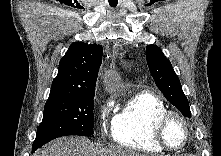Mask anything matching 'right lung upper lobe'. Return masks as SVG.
Here are the masks:
<instances>
[{"label": "right lung upper lobe", "mask_w": 221, "mask_h": 156, "mask_svg": "<svg viewBox=\"0 0 221 156\" xmlns=\"http://www.w3.org/2000/svg\"><path fill=\"white\" fill-rule=\"evenodd\" d=\"M102 55L101 45L72 43L60 60L48 100L73 98L95 92Z\"/></svg>", "instance_id": "obj_1"}]
</instances>
